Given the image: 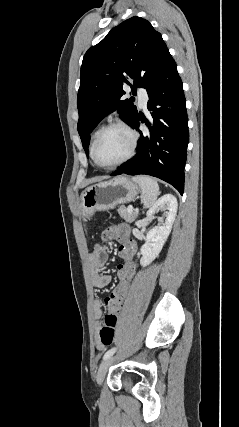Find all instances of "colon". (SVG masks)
I'll list each match as a JSON object with an SVG mask.
<instances>
[{
  "mask_svg": "<svg viewBox=\"0 0 239 427\" xmlns=\"http://www.w3.org/2000/svg\"><path fill=\"white\" fill-rule=\"evenodd\" d=\"M102 240L109 244H120L118 255L120 262L116 264V284L111 292L104 297L106 316L104 326L100 330V341L103 346L113 343L118 326L121 305L125 304V298L132 291V282L137 275L138 264L134 262V255L137 250V243L130 235V226L126 222H110L108 228L102 233Z\"/></svg>",
  "mask_w": 239,
  "mask_h": 427,
  "instance_id": "obj_1",
  "label": "colon"
}]
</instances>
